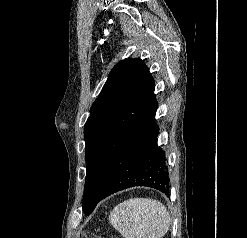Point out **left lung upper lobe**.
I'll return each instance as SVG.
<instances>
[{"instance_id": "5c2ea615", "label": "left lung upper lobe", "mask_w": 247, "mask_h": 238, "mask_svg": "<svg viewBox=\"0 0 247 238\" xmlns=\"http://www.w3.org/2000/svg\"><path fill=\"white\" fill-rule=\"evenodd\" d=\"M154 85L141 59L121 60L93 103L84 127L87 175L82 208L87 215L98 203L108 166L155 103Z\"/></svg>"}]
</instances>
